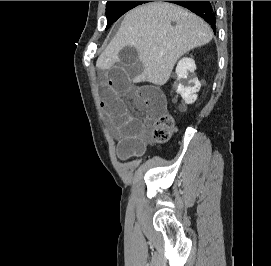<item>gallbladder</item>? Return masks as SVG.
Listing matches in <instances>:
<instances>
[{
    "label": "gallbladder",
    "instance_id": "bac80fb5",
    "mask_svg": "<svg viewBox=\"0 0 271 266\" xmlns=\"http://www.w3.org/2000/svg\"><path fill=\"white\" fill-rule=\"evenodd\" d=\"M118 67L126 73L127 77L134 79L139 76L143 70L144 65L138 58V51L131 46L124 47L120 50Z\"/></svg>",
    "mask_w": 271,
    "mask_h": 266
}]
</instances>
